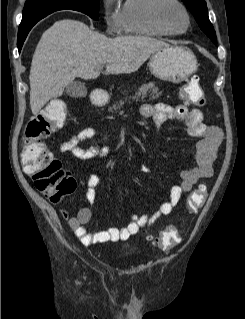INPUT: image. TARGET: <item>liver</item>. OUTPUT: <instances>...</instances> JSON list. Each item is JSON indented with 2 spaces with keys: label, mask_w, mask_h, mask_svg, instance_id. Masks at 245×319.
I'll return each instance as SVG.
<instances>
[{
  "label": "liver",
  "mask_w": 245,
  "mask_h": 319,
  "mask_svg": "<svg viewBox=\"0 0 245 319\" xmlns=\"http://www.w3.org/2000/svg\"><path fill=\"white\" fill-rule=\"evenodd\" d=\"M167 45L141 35L108 38L81 21H56L43 33L33 55L29 75L31 111L37 115L76 77L96 79L102 65H106V74L133 73Z\"/></svg>",
  "instance_id": "obj_1"
}]
</instances>
